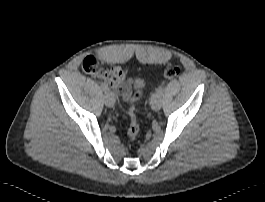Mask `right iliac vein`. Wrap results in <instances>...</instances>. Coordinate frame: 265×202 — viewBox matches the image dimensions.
Masks as SVG:
<instances>
[{
    "label": "right iliac vein",
    "instance_id": "1",
    "mask_svg": "<svg viewBox=\"0 0 265 202\" xmlns=\"http://www.w3.org/2000/svg\"><path fill=\"white\" fill-rule=\"evenodd\" d=\"M104 100H105V104L108 107H112L115 103V96H114L113 92L107 91L105 93Z\"/></svg>",
    "mask_w": 265,
    "mask_h": 202
}]
</instances>
